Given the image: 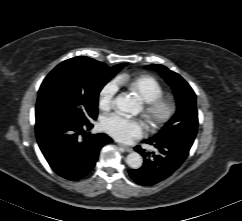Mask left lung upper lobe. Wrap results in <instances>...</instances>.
I'll list each match as a JSON object with an SVG mask.
<instances>
[{"mask_svg":"<svg viewBox=\"0 0 242 221\" xmlns=\"http://www.w3.org/2000/svg\"><path fill=\"white\" fill-rule=\"evenodd\" d=\"M165 78L172 86L176 101L177 112L171 120L151 140H165L170 138H185L194 140L197 134L198 117L196 109V95L189 84L177 73L163 65L147 66Z\"/></svg>","mask_w":242,"mask_h":221,"instance_id":"left-lung-upper-lobe-1","label":"left lung upper lobe"}]
</instances>
